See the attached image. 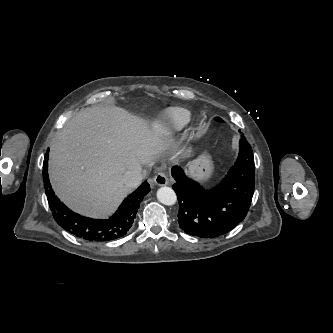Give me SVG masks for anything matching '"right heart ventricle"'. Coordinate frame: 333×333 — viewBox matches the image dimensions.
<instances>
[{"instance_id": "e07e8e85", "label": "right heart ventricle", "mask_w": 333, "mask_h": 333, "mask_svg": "<svg viewBox=\"0 0 333 333\" xmlns=\"http://www.w3.org/2000/svg\"><path fill=\"white\" fill-rule=\"evenodd\" d=\"M192 120L190 111L184 108H171L165 114V126L169 131H179Z\"/></svg>"}]
</instances>
